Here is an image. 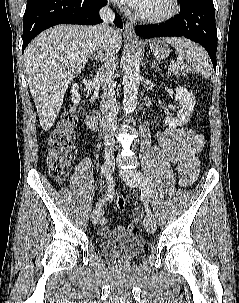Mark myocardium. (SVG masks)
I'll list each match as a JSON object with an SVG mask.
<instances>
[{
    "label": "myocardium",
    "mask_w": 239,
    "mask_h": 303,
    "mask_svg": "<svg viewBox=\"0 0 239 303\" xmlns=\"http://www.w3.org/2000/svg\"><path fill=\"white\" fill-rule=\"evenodd\" d=\"M170 8L168 11L160 14H143L136 12L135 16L148 23H162L169 21L176 17L181 11V4L179 0H169Z\"/></svg>",
    "instance_id": "1"
}]
</instances>
